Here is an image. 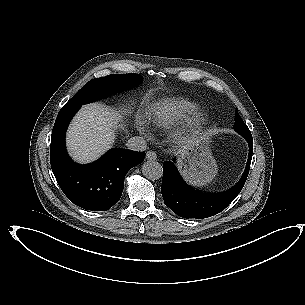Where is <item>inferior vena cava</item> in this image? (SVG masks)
<instances>
[{
	"label": "inferior vena cava",
	"mask_w": 305,
	"mask_h": 305,
	"mask_svg": "<svg viewBox=\"0 0 305 305\" xmlns=\"http://www.w3.org/2000/svg\"><path fill=\"white\" fill-rule=\"evenodd\" d=\"M126 146L129 150L142 152L147 148V143L143 137L134 136L128 139Z\"/></svg>",
	"instance_id": "1"
}]
</instances>
